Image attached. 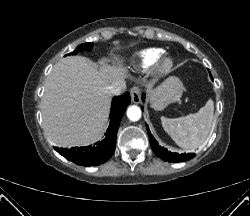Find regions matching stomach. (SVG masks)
<instances>
[{
    "label": "stomach",
    "instance_id": "0dacf381",
    "mask_svg": "<svg viewBox=\"0 0 250 216\" xmlns=\"http://www.w3.org/2000/svg\"><path fill=\"white\" fill-rule=\"evenodd\" d=\"M183 91L184 86L181 80L171 76L158 87L148 90L150 105L155 110H162L170 103L178 101Z\"/></svg>",
    "mask_w": 250,
    "mask_h": 216
}]
</instances>
